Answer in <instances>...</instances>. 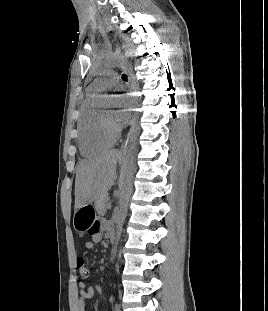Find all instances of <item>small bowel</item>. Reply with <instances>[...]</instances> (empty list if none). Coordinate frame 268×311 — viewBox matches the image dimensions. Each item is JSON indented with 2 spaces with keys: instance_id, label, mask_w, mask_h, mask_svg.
Listing matches in <instances>:
<instances>
[{
  "instance_id": "small-bowel-1",
  "label": "small bowel",
  "mask_w": 268,
  "mask_h": 311,
  "mask_svg": "<svg viewBox=\"0 0 268 311\" xmlns=\"http://www.w3.org/2000/svg\"><path fill=\"white\" fill-rule=\"evenodd\" d=\"M113 229L112 225L106 220L96 221L91 228L89 229V233L91 238L89 241L85 243V247L88 250H92L96 244H98L102 240V232L103 230L110 231ZM94 288L86 284L84 282H79L77 286V297L75 299V307L77 311H85L86 301L93 297Z\"/></svg>"
}]
</instances>
